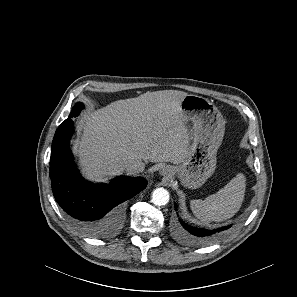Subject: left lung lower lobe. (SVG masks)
Segmentation results:
<instances>
[{"label": "left lung lower lobe", "mask_w": 297, "mask_h": 297, "mask_svg": "<svg viewBox=\"0 0 297 297\" xmlns=\"http://www.w3.org/2000/svg\"><path fill=\"white\" fill-rule=\"evenodd\" d=\"M232 225L222 228L208 230L192 227L180 220V224L175 227L176 237L185 244L202 245L216 240L223 232L228 230Z\"/></svg>", "instance_id": "1"}]
</instances>
